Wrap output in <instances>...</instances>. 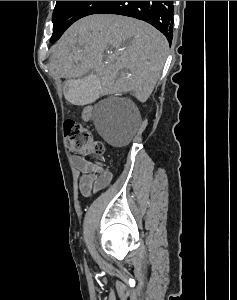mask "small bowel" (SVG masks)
Listing matches in <instances>:
<instances>
[{
  "label": "small bowel",
  "mask_w": 237,
  "mask_h": 300,
  "mask_svg": "<svg viewBox=\"0 0 237 300\" xmlns=\"http://www.w3.org/2000/svg\"><path fill=\"white\" fill-rule=\"evenodd\" d=\"M93 109L91 106H86L82 110V119L88 121L92 117ZM72 162L75 168L82 174L79 180L80 193L85 196L106 188L111 180L112 173L106 168L100 167L80 156H73Z\"/></svg>",
  "instance_id": "obj_1"
}]
</instances>
